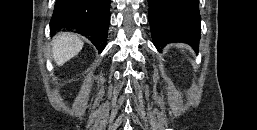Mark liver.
Segmentation results:
<instances>
[{"instance_id": "liver-1", "label": "liver", "mask_w": 257, "mask_h": 130, "mask_svg": "<svg viewBox=\"0 0 257 130\" xmlns=\"http://www.w3.org/2000/svg\"><path fill=\"white\" fill-rule=\"evenodd\" d=\"M83 41L73 33H60L52 40L53 60L61 66L76 56L83 48Z\"/></svg>"}]
</instances>
